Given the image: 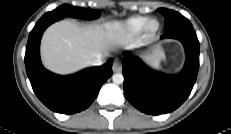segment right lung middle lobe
I'll use <instances>...</instances> for the list:
<instances>
[{
	"label": "right lung middle lobe",
	"mask_w": 231,
	"mask_h": 134,
	"mask_svg": "<svg viewBox=\"0 0 231 134\" xmlns=\"http://www.w3.org/2000/svg\"><path fill=\"white\" fill-rule=\"evenodd\" d=\"M64 16H71L82 19H95L100 16L98 11H88L81 7H73L70 5H62L57 9L47 12L40 20H58Z\"/></svg>",
	"instance_id": "obj_1"
}]
</instances>
